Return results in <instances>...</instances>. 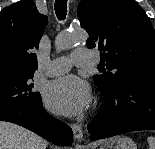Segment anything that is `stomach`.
Segmentation results:
<instances>
[{
  "label": "stomach",
  "mask_w": 155,
  "mask_h": 149,
  "mask_svg": "<svg viewBox=\"0 0 155 149\" xmlns=\"http://www.w3.org/2000/svg\"><path fill=\"white\" fill-rule=\"evenodd\" d=\"M99 149H137V146L131 138L118 135L104 140Z\"/></svg>",
  "instance_id": "obj_1"
}]
</instances>
